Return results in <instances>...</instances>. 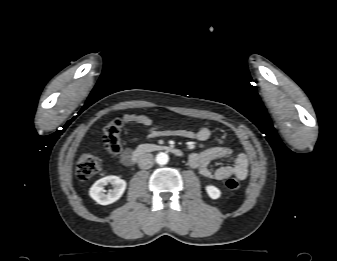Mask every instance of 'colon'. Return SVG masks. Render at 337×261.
<instances>
[{
	"instance_id": "obj_1",
	"label": "colon",
	"mask_w": 337,
	"mask_h": 261,
	"mask_svg": "<svg viewBox=\"0 0 337 261\" xmlns=\"http://www.w3.org/2000/svg\"><path fill=\"white\" fill-rule=\"evenodd\" d=\"M123 121L120 118L111 120L104 129V142L107 152L111 156H118L122 151L120 139V130ZM102 160L90 153L81 154L76 162V176L79 180L85 181L97 175L102 170ZM225 186L230 190H237L240 183L235 178H229L225 181Z\"/></svg>"
}]
</instances>
